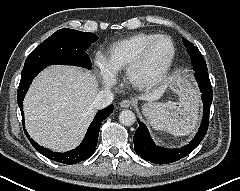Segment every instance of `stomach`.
<instances>
[{"label":"stomach","instance_id":"obj_1","mask_svg":"<svg viewBox=\"0 0 240 191\" xmlns=\"http://www.w3.org/2000/svg\"><path fill=\"white\" fill-rule=\"evenodd\" d=\"M167 87L180 97L179 102L166 104L149 102L143 105V113L147 119L157 111L166 108L174 118L196 125L199 100L192 84L181 74L174 73L169 77Z\"/></svg>","mask_w":240,"mask_h":191}]
</instances>
